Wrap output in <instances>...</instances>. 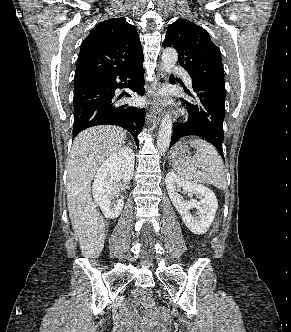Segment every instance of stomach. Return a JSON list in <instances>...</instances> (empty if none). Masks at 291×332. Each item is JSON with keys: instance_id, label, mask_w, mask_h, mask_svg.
Masks as SVG:
<instances>
[{"instance_id": "obj_1", "label": "stomach", "mask_w": 291, "mask_h": 332, "mask_svg": "<svg viewBox=\"0 0 291 332\" xmlns=\"http://www.w3.org/2000/svg\"><path fill=\"white\" fill-rule=\"evenodd\" d=\"M172 162L186 161L190 159V153L187 144L177 143L171 152Z\"/></svg>"}]
</instances>
